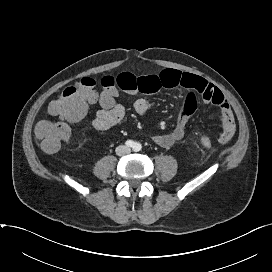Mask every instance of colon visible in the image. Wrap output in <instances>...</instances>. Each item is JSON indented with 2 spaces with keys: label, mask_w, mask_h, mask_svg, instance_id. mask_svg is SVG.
<instances>
[{
  "label": "colon",
  "mask_w": 272,
  "mask_h": 272,
  "mask_svg": "<svg viewBox=\"0 0 272 272\" xmlns=\"http://www.w3.org/2000/svg\"><path fill=\"white\" fill-rule=\"evenodd\" d=\"M101 91L96 89V81L90 77H83L73 85L65 88L47 108L48 114L57 116L64 121L54 122L43 120L35 128L36 136L41 140V147L47 153L58 151L61 144L70 136V127L67 122L81 119L88 107L99 103L102 107L109 108L115 104L118 95L116 79L105 76L100 80ZM204 148L213 144L208 136L200 138Z\"/></svg>",
  "instance_id": "1"
}]
</instances>
